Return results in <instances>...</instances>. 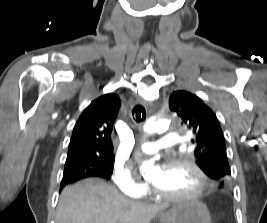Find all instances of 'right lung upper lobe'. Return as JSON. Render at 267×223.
I'll list each match as a JSON object with an SVG mask.
<instances>
[{
  "instance_id": "right-lung-upper-lobe-1",
  "label": "right lung upper lobe",
  "mask_w": 267,
  "mask_h": 223,
  "mask_svg": "<svg viewBox=\"0 0 267 223\" xmlns=\"http://www.w3.org/2000/svg\"><path fill=\"white\" fill-rule=\"evenodd\" d=\"M121 101L110 93L94 100L76 122L67 160L112 156L111 132Z\"/></svg>"
}]
</instances>
